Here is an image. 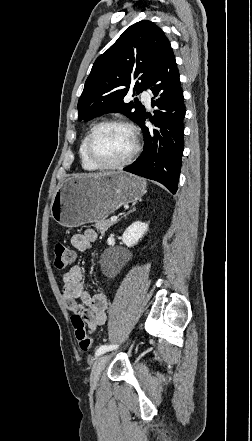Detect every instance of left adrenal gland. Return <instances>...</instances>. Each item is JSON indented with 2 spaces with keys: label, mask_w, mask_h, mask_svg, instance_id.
I'll use <instances>...</instances> for the list:
<instances>
[{
  "label": "left adrenal gland",
  "mask_w": 252,
  "mask_h": 441,
  "mask_svg": "<svg viewBox=\"0 0 252 441\" xmlns=\"http://www.w3.org/2000/svg\"><path fill=\"white\" fill-rule=\"evenodd\" d=\"M133 211H135V208H133L132 210L128 211L127 214H130V213L133 212ZM124 216H126V215H124Z\"/></svg>",
  "instance_id": "1"
}]
</instances>
